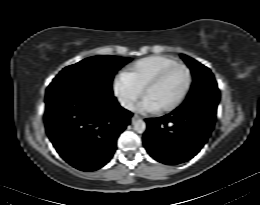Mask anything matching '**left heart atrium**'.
<instances>
[{
  "label": "left heart atrium",
  "instance_id": "39dd6f15",
  "mask_svg": "<svg viewBox=\"0 0 260 205\" xmlns=\"http://www.w3.org/2000/svg\"><path fill=\"white\" fill-rule=\"evenodd\" d=\"M157 109H158L157 105L148 98H145L135 107V110L139 112H153L156 111Z\"/></svg>",
  "mask_w": 260,
  "mask_h": 205
}]
</instances>
